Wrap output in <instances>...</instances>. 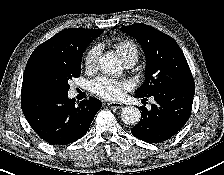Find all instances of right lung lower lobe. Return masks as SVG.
<instances>
[{"instance_id": "right-lung-lower-lobe-1", "label": "right lung lower lobe", "mask_w": 224, "mask_h": 175, "mask_svg": "<svg viewBox=\"0 0 224 175\" xmlns=\"http://www.w3.org/2000/svg\"><path fill=\"white\" fill-rule=\"evenodd\" d=\"M101 107V101L95 98L83 100L76 106L66 91L28 89L21 92V108L28 123L44 141L54 145H67L80 139Z\"/></svg>"}]
</instances>
